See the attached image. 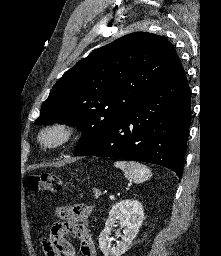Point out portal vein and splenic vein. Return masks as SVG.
I'll return each instance as SVG.
<instances>
[{
  "instance_id": "obj_1",
  "label": "portal vein and splenic vein",
  "mask_w": 221,
  "mask_h": 256,
  "mask_svg": "<svg viewBox=\"0 0 221 256\" xmlns=\"http://www.w3.org/2000/svg\"><path fill=\"white\" fill-rule=\"evenodd\" d=\"M109 198H110L111 200H115V196H114V195H110Z\"/></svg>"
}]
</instances>
